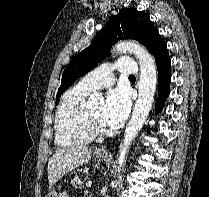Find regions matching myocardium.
Listing matches in <instances>:
<instances>
[{
    "instance_id": "1",
    "label": "myocardium",
    "mask_w": 209,
    "mask_h": 197,
    "mask_svg": "<svg viewBox=\"0 0 209 197\" xmlns=\"http://www.w3.org/2000/svg\"><path fill=\"white\" fill-rule=\"evenodd\" d=\"M84 122L87 131L92 136L103 135L107 133V129L92 116L86 106H84Z\"/></svg>"
}]
</instances>
